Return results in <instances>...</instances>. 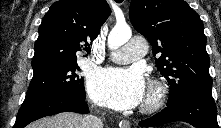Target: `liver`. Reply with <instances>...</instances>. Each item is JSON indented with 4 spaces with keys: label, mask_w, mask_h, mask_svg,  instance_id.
Returning a JSON list of instances; mask_svg holds the SVG:
<instances>
[{
    "label": "liver",
    "mask_w": 221,
    "mask_h": 128,
    "mask_svg": "<svg viewBox=\"0 0 221 128\" xmlns=\"http://www.w3.org/2000/svg\"><path fill=\"white\" fill-rule=\"evenodd\" d=\"M84 118L77 113L63 112L39 119L28 125L27 128H84Z\"/></svg>",
    "instance_id": "obj_1"
}]
</instances>
